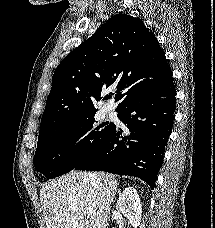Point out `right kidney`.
<instances>
[{"mask_svg": "<svg viewBox=\"0 0 215 228\" xmlns=\"http://www.w3.org/2000/svg\"><path fill=\"white\" fill-rule=\"evenodd\" d=\"M116 210L124 214L132 228H138V226H140L142 204L135 188H125V190H123L117 200Z\"/></svg>", "mask_w": 215, "mask_h": 228, "instance_id": "obj_1", "label": "right kidney"}]
</instances>
